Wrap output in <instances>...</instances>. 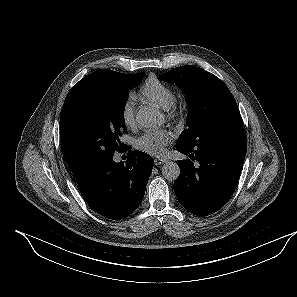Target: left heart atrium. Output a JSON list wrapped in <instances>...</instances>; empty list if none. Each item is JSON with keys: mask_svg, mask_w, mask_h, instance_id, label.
I'll list each match as a JSON object with an SVG mask.
<instances>
[{"mask_svg": "<svg viewBox=\"0 0 297 297\" xmlns=\"http://www.w3.org/2000/svg\"><path fill=\"white\" fill-rule=\"evenodd\" d=\"M172 140L173 134L167 129L147 130L136 139L135 145L149 154L161 155Z\"/></svg>", "mask_w": 297, "mask_h": 297, "instance_id": "left-heart-atrium-1", "label": "left heart atrium"}]
</instances>
